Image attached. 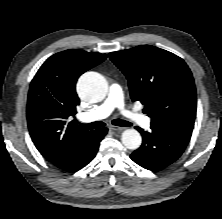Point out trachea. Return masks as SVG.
<instances>
[{"instance_id":"3493384b","label":"trachea","mask_w":222,"mask_h":219,"mask_svg":"<svg viewBox=\"0 0 222 219\" xmlns=\"http://www.w3.org/2000/svg\"><path fill=\"white\" fill-rule=\"evenodd\" d=\"M113 125L116 126H121V127H129L132 125V123L125 121V120H120V119H114L112 121ZM82 127L87 128V129H96V128H100L105 126L106 124L102 121H96V122H92L89 124H80Z\"/></svg>"}]
</instances>
